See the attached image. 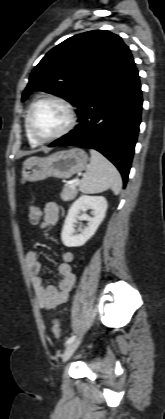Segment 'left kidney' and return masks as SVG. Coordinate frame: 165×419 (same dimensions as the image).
<instances>
[{
  "mask_svg": "<svg viewBox=\"0 0 165 419\" xmlns=\"http://www.w3.org/2000/svg\"><path fill=\"white\" fill-rule=\"evenodd\" d=\"M108 208L107 200L103 196L81 195L70 207L61 233V240L67 247L84 245L96 232L105 217ZM92 210V217L85 212ZM77 220L88 221L87 226L80 233L75 231Z\"/></svg>",
  "mask_w": 165,
  "mask_h": 419,
  "instance_id": "5707ae66",
  "label": "left kidney"
}]
</instances>
